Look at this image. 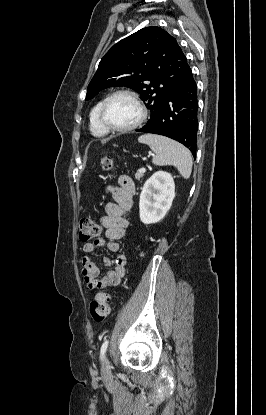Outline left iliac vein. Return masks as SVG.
<instances>
[{"label": "left iliac vein", "mask_w": 266, "mask_h": 415, "mask_svg": "<svg viewBox=\"0 0 266 415\" xmlns=\"http://www.w3.org/2000/svg\"><path fill=\"white\" fill-rule=\"evenodd\" d=\"M109 371H110L109 360L107 356H104L103 362H102V373L103 375H107Z\"/></svg>", "instance_id": "4c4485c4"}]
</instances>
